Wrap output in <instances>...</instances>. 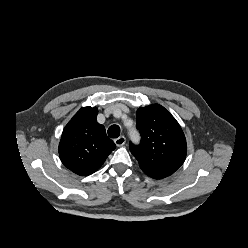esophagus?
<instances>
[{"instance_id":"esophagus-1","label":"esophagus","mask_w":248,"mask_h":248,"mask_svg":"<svg viewBox=\"0 0 248 248\" xmlns=\"http://www.w3.org/2000/svg\"><path fill=\"white\" fill-rule=\"evenodd\" d=\"M114 143L120 147L123 146L126 143V138L124 136H120L114 140Z\"/></svg>"}]
</instances>
